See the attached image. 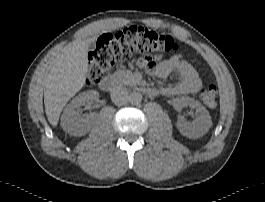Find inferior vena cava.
Segmentation results:
<instances>
[{"mask_svg":"<svg viewBox=\"0 0 265 202\" xmlns=\"http://www.w3.org/2000/svg\"><path fill=\"white\" fill-rule=\"evenodd\" d=\"M111 100L116 105H124L129 100V93L127 88L123 86H116L111 90Z\"/></svg>","mask_w":265,"mask_h":202,"instance_id":"602c4592","label":"inferior vena cava"}]
</instances>
